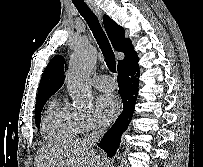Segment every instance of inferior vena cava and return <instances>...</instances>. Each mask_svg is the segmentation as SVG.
I'll use <instances>...</instances> for the list:
<instances>
[{"label": "inferior vena cava", "instance_id": "obj_1", "mask_svg": "<svg viewBox=\"0 0 203 167\" xmlns=\"http://www.w3.org/2000/svg\"><path fill=\"white\" fill-rule=\"evenodd\" d=\"M106 128H107L106 125H99L98 127H96V129L91 133V135L88 139V143L94 144L96 142V140H98L103 135Z\"/></svg>", "mask_w": 203, "mask_h": 167}]
</instances>
